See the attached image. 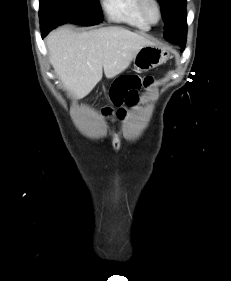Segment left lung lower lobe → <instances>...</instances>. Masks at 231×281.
Listing matches in <instances>:
<instances>
[{
    "mask_svg": "<svg viewBox=\"0 0 231 281\" xmlns=\"http://www.w3.org/2000/svg\"><path fill=\"white\" fill-rule=\"evenodd\" d=\"M186 33L182 31H176L172 32L168 37L167 40H169L172 43L181 45V49L183 50L185 48L186 44Z\"/></svg>",
    "mask_w": 231,
    "mask_h": 281,
    "instance_id": "left-lung-lower-lobe-1",
    "label": "left lung lower lobe"
}]
</instances>
